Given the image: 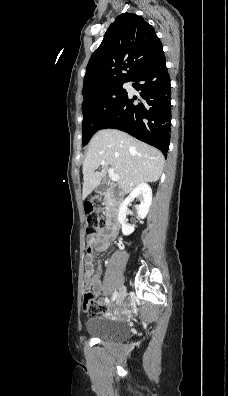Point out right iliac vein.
<instances>
[{"label":"right iliac vein","mask_w":228,"mask_h":396,"mask_svg":"<svg viewBox=\"0 0 228 396\" xmlns=\"http://www.w3.org/2000/svg\"><path fill=\"white\" fill-rule=\"evenodd\" d=\"M125 296H126V288L123 286V287L119 290V293H118V295H117V300H116L117 303L120 304V303L124 300Z\"/></svg>","instance_id":"1"}]
</instances>
